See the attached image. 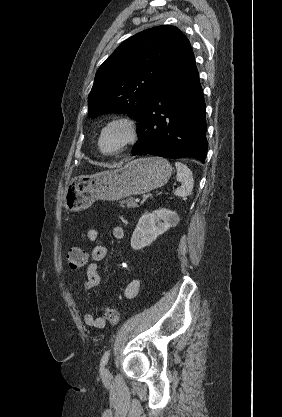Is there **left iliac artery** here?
<instances>
[{
	"mask_svg": "<svg viewBox=\"0 0 282 417\" xmlns=\"http://www.w3.org/2000/svg\"><path fill=\"white\" fill-rule=\"evenodd\" d=\"M110 356V350H107L104 355L102 356L101 363L106 365Z\"/></svg>",
	"mask_w": 282,
	"mask_h": 417,
	"instance_id": "obj_1",
	"label": "left iliac artery"
}]
</instances>
